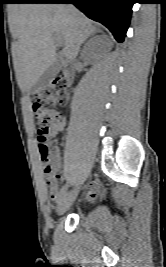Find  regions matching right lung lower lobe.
<instances>
[{"mask_svg": "<svg viewBox=\"0 0 166 267\" xmlns=\"http://www.w3.org/2000/svg\"><path fill=\"white\" fill-rule=\"evenodd\" d=\"M20 3H72L89 18L105 25L118 42H123L134 0H22Z\"/></svg>", "mask_w": 166, "mask_h": 267, "instance_id": "1", "label": "right lung lower lobe"}]
</instances>
